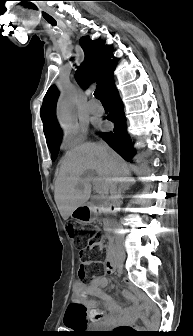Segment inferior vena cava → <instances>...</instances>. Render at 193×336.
Listing matches in <instances>:
<instances>
[{
	"label": "inferior vena cava",
	"instance_id": "602c4592",
	"mask_svg": "<svg viewBox=\"0 0 193 336\" xmlns=\"http://www.w3.org/2000/svg\"><path fill=\"white\" fill-rule=\"evenodd\" d=\"M99 147L102 149V150H105L106 149V145L105 144H99ZM111 193V200L113 202L114 205L118 206L121 204V200H120V190H117L115 187H113L110 191Z\"/></svg>",
	"mask_w": 193,
	"mask_h": 336
}]
</instances>
